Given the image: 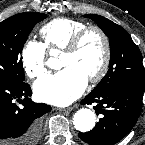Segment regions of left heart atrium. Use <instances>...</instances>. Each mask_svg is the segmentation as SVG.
Returning <instances> with one entry per match:
<instances>
[{
	"mask_svg": "<svg viewBox=\"0 0 145 145\" xmlns=\"http://www.w3.org/2000/svg\"><path fill=\"white\" fill-rule=\"evenodd\" d=\"M87 77L73 66L47 75L34 83L36 97L46 103L65 106L78 98L87 85Z\"/></svg>",
	"mask_w": 145,
	"mask_h": 145,
	"instance_id": "39dd6f15",
	"label": "left heart atrium"
}]
</instances>
